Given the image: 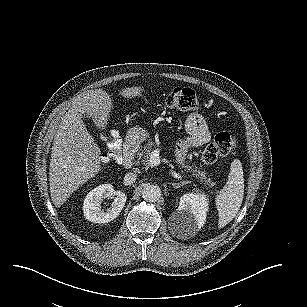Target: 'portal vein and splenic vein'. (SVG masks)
I'll return each mask as SVG.
<instances>
[{"label": "portal vein and splenic vein", "instance_id": "obj_1", "mask_svg": "<svg viewBox=\"0 0 307 307\" xmlns=\"http://www.w3.org/2000/svg\"><path fill=\"white\" fill-rule=\"evenodd\" d=\"M160 151L158 149H155L154 151L151 152L149 155V163L151 166H157L160 164ZM172 175L175 178H180V175L177 174L175 171L172 172Z\"/></svg>", "mask_w": 307, "mask_h": 307}]
</instances>
